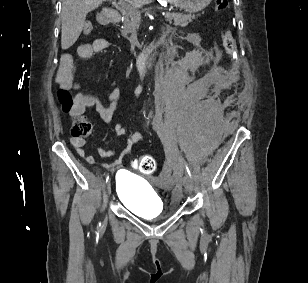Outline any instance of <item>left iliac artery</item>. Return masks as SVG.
I'll use <instances>...</instances> for the list:
<instances>
[{"label": "left iliac artery", "instance_id": "1", "mask_svg": "<svg viewBox=\"0 0 308 283\" xmlns=\"http://www.w3.org/2000/svg\"><path fill=\"white\" fill-rule=\"evenodd\" d=\"M185 169H186L187 174L191 176L192 175L191 169L186 163H185Z\"/></svg>", "mask_w": 308, "mask_h": 283}]
</instances>
